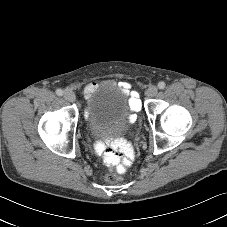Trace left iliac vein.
<instances>
[{
    "label": "left iliac vein",
    "instance_id": "4c4485c4",
    "mask_svg": "<svg viewBox=\"0 0 227 227\" xmlns=\"http://www.w3.org/2000/svg\"><path fill=\"white\" fill-rule=\"evenodd\" d=\"M158 93V88L155 85H152L147 90L148 97H154Z\"/></svg>",
    "mask_w": 227,
    "mask_h": 227
}]
</instances>
